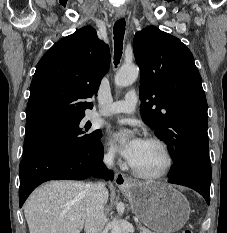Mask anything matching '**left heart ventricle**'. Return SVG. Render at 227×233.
Masks as SVG:
<instances>
[{
    "mask_svg": "<svg viewBox=\"0 0 227 233\" xmlns=\"http://www.w3.org/2000/svg\"><path fill=\"white\" fill-rule=\"evenodd\" d=\"M131 164L140 171L157 173L165 167L166 157L158 145L145 141Z\"/></svg>",
    "mask_w": 227,
    "mask_h": 233,
    "instance_id": "obj_1",
    "label": "left heart ventricle"
}]
</instances>
